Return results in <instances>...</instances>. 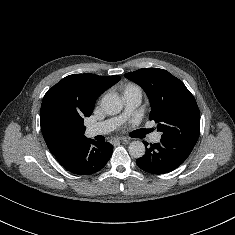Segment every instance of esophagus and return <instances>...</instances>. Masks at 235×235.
<instances>
[{
    "label": "esophagus",
    "mask_w": 235,
    "mask_h": 235,
    "mask_svg": "<svg viewBox=\"0 0 235 235\" xmlns=\"http://www.w3.org/2000/svg\"><path fill=\"white\" fill-rule=\"evenodd\" d=\"M120 141H127V138L125 137H113L110 139L111 144H117Z\"/></svg>",
    "instance_id": "obj_1"
}]
</instances>
